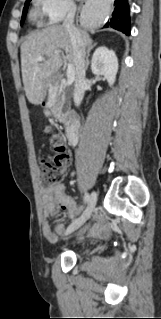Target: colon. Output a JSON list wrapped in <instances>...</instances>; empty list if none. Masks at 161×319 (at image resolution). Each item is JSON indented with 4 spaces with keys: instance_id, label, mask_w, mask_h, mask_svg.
<instances>
[{
    "instance_id": "colon-1",
    "label": "colon",
    "mask_w": 161,
    "mask_h": 319,
    "mask_svg": "<svg viewBox=\"0 0 161 319\" xmlns=\"http://www.w3.org/2000/svg\"><path fill=\"white\" fill-rule=\"evenodd\" d=\"M62 137L51 136L50 142L55 149V154L41 160V177L45 185H53L59 182L70 166V156L62 144Z\"/></svg>"
}]
</instances>
